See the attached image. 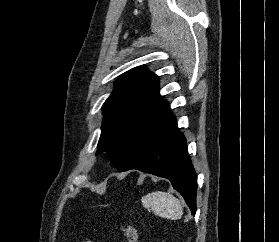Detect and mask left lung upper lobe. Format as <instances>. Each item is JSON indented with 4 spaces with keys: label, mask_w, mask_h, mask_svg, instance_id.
<instances>
[{
    "label": "left lung upper lobe",
    "mask_w": 279,
    "mask_h": 242,
    "mask_svg": "<svg viewBox=\"0 0 279 242\" xmlns=\"http://www.w3.org/2000/svg\"><path fill=\"white\" fill-rule=\"evenodd\" d=\"M159 78L143 67L124 73L103 104L104 119L97 154L124 171L175 125L169 103L159 94Z\"/></svg>",
    "instance_id": "1"
}]
</instances>
